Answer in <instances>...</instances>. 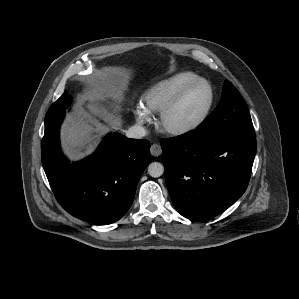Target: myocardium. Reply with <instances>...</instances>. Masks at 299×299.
I'll use <instances>...</instances> for the list:
<instances>
[{
    "label": "myocardium",
    "instance_id": "f54148a6",
    "mask_svg": "<svg viewBox=\"0 0 299 299\" xmlns=\"http://www.w3.org/2000/svg\"><path fill=\"white\" fill-rule=\"evenodd\" d=\"M198 85H206L209 90V100L208 103L201 113V115L192 123L183 126H171L167 123V117L169 113L176 107V105L181 101V99L194 87ZM215 102V91L212 85L205 79H197L180 89L159 111L157 125L159 129L169 135L181 136L194 132L200 128L207 118L209 117L211 110Z\"/></svg>",
    "mask_w": 299,
    "mask_h": 299
}]
</instances>
